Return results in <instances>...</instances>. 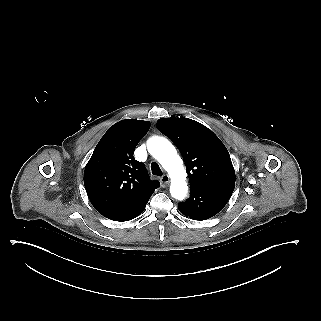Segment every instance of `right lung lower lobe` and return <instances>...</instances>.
Returning <instances> with one entry per match:
<instances>
[{
	"label": "right lung lower lobe",
	"mask_w": 321,
	"mask_h": 321,
	"mask_svg": "<svg viewBox=\"0 0 321 321\" xmlns=\"http://www.w3.org/2000/svg\"><path fill=\"white\" fill-rule=\"evenodd\" d=\"M147 202L148 201H146L145 203H143L142 205H140L136 209L132 210L131 212H129L123 216L117 217L115 219H111V220L120 221V222L131 220V219L137 217L138 215H140L144 211Z\"/></svg>",
	"instance_id": "98d812e1"
}]
</instances>
